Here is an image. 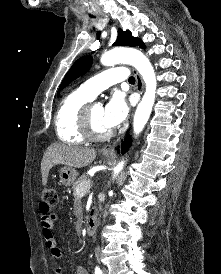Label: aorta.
<instances>
[{"label": "aorta", "mask_w": 221, "mask_h": 274, "mask_svg": "<svg viewBox=\"0 0 221 274\" xmlns=\"http://www.w3.org/2000/svg\"><path fill=\"white\" fill-rule=\"evenodd\" d=\"M101 63L105 66L128 63L135 67L141 74L145 82L146 90L142 100L137 106L133 120L134 133L135 135H139L149 119L156 96V74L150 61L137 49L115 48L102 55ZM123 166L124 161H121L114 169V173H119L123 169Z\"/></svg>", "instance_id": "obj_1"}]
</instances>
